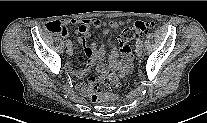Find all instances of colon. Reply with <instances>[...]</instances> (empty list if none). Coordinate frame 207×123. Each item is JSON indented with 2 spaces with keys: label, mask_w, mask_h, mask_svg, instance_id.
<instances>
[{
  "label": "colon",
  "mask_w": 207,
  "mask_h": 123,
  "mask_svg": "<svg viewBox=\"0 0 207 123\" xmlns=\"http://www.w3.org/2000/svg\"><path fill=\"white\" fill-rule=\"evenodd\" d=\"M94 26L101 28L103 25L99 21L94 22ZM45 30L50 33H58L62 30L60 21L49 22L44 26ZM154 28L152 23H146L137 20L131 27L125 28L119 36V46L122 53L129 49V42L138 34L145 33ZM121 89L119 79L116 76L108 77L104 82L97 84L91 95V99L95 103L115 101L118 97V91Z\"/></svg>",
  "instance_id": "obj_1"
}]
</instances>
